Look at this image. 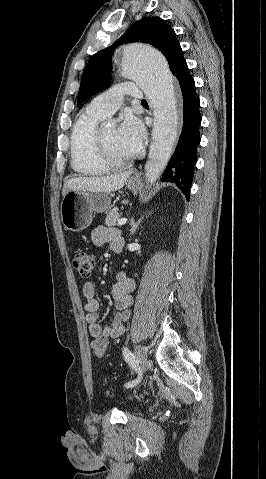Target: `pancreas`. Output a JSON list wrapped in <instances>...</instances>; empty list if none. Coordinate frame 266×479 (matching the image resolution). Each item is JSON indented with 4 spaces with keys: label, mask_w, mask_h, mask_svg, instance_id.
<instances>
[{
    "label": "pancreas",
    "mask_w": 266,
    "mask_h": 479,
    "mask_svg": "<svg viewBox=\"0 0 266 479\" xmlns=\"http://www.w3.org/2000/svg\"><path fill=\"white\" fill-rule=\"evenodd\" d=\"M120 218L117 209L110 210L105 218V225L115 226Z\"/></svg>",
    "instance_id": "cf45deb5"
}]
</instances>
